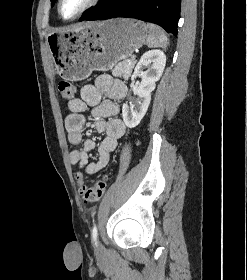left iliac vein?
<instances>
[{"mask_svg":"<svg viewBox=\"0 0 247 280\" xmlns=\"http://www.w3.org/2000/svg\"><path fill=\"white\" fill-rule=\"evenodd\" d=\"M97 249L100 250L101 249V245L99 242H97V245H96Z\"/></svg>","mask_w":247,"mask_h":280,"instance_id":"1","label":"left iliac vein"}]
</instances>
